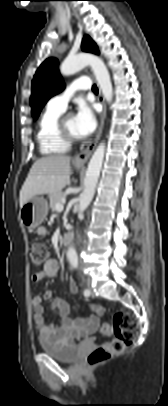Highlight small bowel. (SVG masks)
<instances>
[{"mask_svg": "<svg viewBox=\"0 0 168 406\" xmlns=\"http://www.w3.org/2000/svg\"><path fill=\"white\" fill-rule=\"evenodd\" d=\"M48 233L46 227L37 229L38 236H46ZM58 272V262L55 259L45 263L43 269L33 274L32 279L39 282L45 277H55ZM69 290L71 293H76L78 290L74 279L69 281ZM52 299V292L47 291L44 296H34L32 299L33 319L39 329L40 335L45 340L58 345H73L77 337L89 336L98 331L100 327V316L104 313L101 305L92 304L91 309L93 314L88 318L71 317L69 305L61 298L53 299L50 304V309L54 310L59 315V322L49 324L45 318L44 300Z\"/></svg>", "mask_w": 168, "mask_h": 406, "instance_id": "obj_1", "label": "small bowel"}]
</instances>
